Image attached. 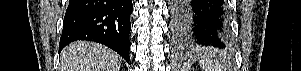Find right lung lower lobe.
<instances>
[{
	"instance_id": "98d812e1",
	"label": "right lung lower lobe",
	"mask_w": 301,
	"mask_h": 71,
	"mask_svg": "<svg viewBox=\"0 0 301 71\" xmlns=\"http://www.w3.org/2000/svg\"><path fill=\"white\" fill-rule=\"evenodd\" d=\"M132 0H70L59 49L76 40L104 44L129 63Z\"/></svg>"
}]
</instances>
